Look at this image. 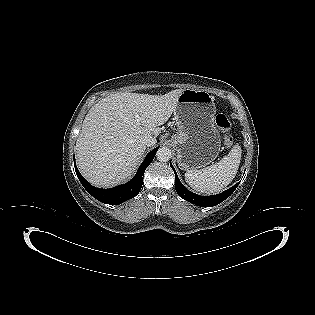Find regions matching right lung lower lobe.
<instances>
[{
	"instance_id": "1",
	"label": "right lung lower lobe",
	"mask_w": 315,
	"mask_h": 315,
	"mask_svg": "<svg viewBox=\"0 0 315 315\" xmlns=\"http://www.w3.org/2000/svg\"><path fill=\"white\" fill-rule=\"evenodd\" d=\"M158 149H159V147L153 149L150 153H148L145 160L140 165L136 175L128 183L114 187V188H110V189L96 188V187L90 185L84 179V177L79 173V171L76 167V164H74L75 171H76L78 179L80 180L83 187L94 198H96L97 200H99L103 203L118 205V204L123 203L126 200H129V199L135 197L140 192V189H141L142 184H143L144 172H145L146 168L148 167V165L153 160ZM74 162H75V158H74Z\"/></svg>"
}]
</instances>
